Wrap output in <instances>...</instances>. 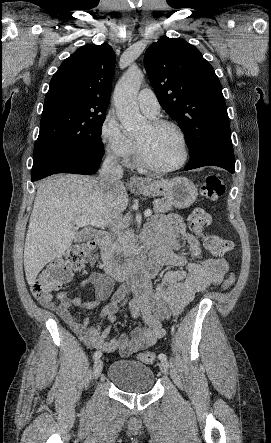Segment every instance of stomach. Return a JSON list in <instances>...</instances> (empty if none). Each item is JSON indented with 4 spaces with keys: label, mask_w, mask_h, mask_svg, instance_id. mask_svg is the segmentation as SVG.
<instances>
[{
    "label": "stomach",
    "mask_w": 271,
    "mask_h": 443,
    "mask_svg": "<svg viewBox=\"0 0 271 443\" xmlns=\"http://www.w3.org/2000/svg\"><path fill=\"white\" fill-rule=\"evenodd\" d=\"M145 186L134 188L143 196H164L174 208L184 210L197 200L198 192L191 180L187 178H172V180H142Z\"/></svg>",
    "instance_id": "1"
}]
</instances>
